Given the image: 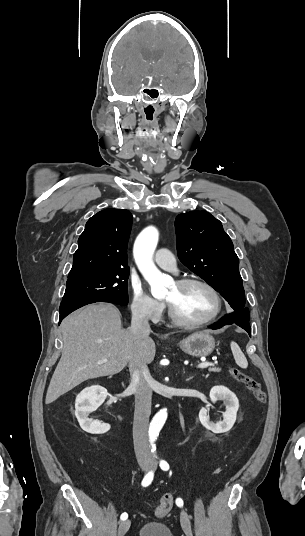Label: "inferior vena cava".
Returning <instances> with one entry per match:
<instances>
[{
	"mask_svg": "<svg viewBox=\"0 0 305 536\" xmlns=\"http://www.w3.org/2000/svg\"><path fill=\"white\" fill-rule=\"evenodd\" d=\"M130 332L139 338H148L151 328L147 312L142 308H133ZM129 370L131 376L130 390L135 394V412L133 422V440L136 458L150 460L148 444L149 416L151 414L152 390L150 388V372L147 366H135L130 360Z\"/></svg>",
	"mask_w": 305,
	"mask_h": 536,
	"instance_id": "obj_1",
	"label": "inferior vena cava"
}]
</instances>
